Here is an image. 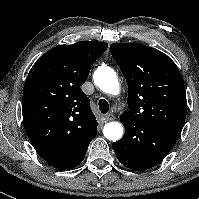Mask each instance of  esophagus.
<instances>
[{
    "mask_svg": "<svg viewBox=\"0 0 199 199\" xmlns=\"http://www.w3.org/2000/svg\"><path fill=\"white\" fill-rule=\"evenodd\" d=\"M114 119H115V116L112 113H109V114L104 116L105 121H112Z\"/></svg>",
    "mask_w": 199,
    "mask_h": 199,
    "instance_id": "1",
    "label": "esophagus"
}]
</instances>
